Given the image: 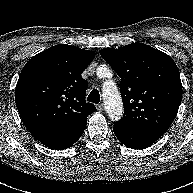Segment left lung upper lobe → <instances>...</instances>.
<instances>
[{
    "mask_svg": "<svg viewBox=\"0 0 193 193\" xmlns=\"http://www.w3.org/2000/svg\"><path fill=\"white\" fill-rule=\"evenodd\" d=\"M100 54L122 79L124 116L114 126L127 131L166 132L182 100L174 60L143 43L104 48Z\"/></svg>",
    "mask_w": 193,
    "mask_h": 193,
    "instance_id": "obj_1",
    "label": "left lung upper lobe"
}]
</instances>
